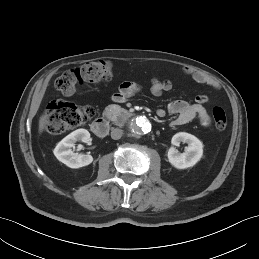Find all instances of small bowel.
<instances>
[{
  "instance_id": "small-bowel-1",
  "label": "small bowel",
  "mask_w": 259,
  "mask_h": 259,
  "mask_svg": "<svg viewBox=\"0 0 259 259\" xmlns=\"http://www.w3.org/2000/svg\"><path fill=\"white\" fill-rule=\"evenodd\" d=\"M182 72L198 83L205 84L213 88H219L217 80L201 71L191 68H183ZM172 87V82L169 80L160 81L158 79H153L151 84V93L155 96H161L162 94L169 92ZM139 90L140 86L138 83L134 81H124L119 86V89L112 95V99L116 103H123ZM206 102L207 97L203 95L197 96L194 103H190L182 99L170 102L167 110L169 113L176 115L173 125H183L199 118L203 126H208L210 124V119L203 106ZM156 113L159 117H163L166 114L164 109H158Z\"/></svg>"
}]
</instances>
